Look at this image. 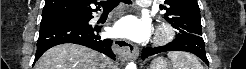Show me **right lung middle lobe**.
Wrapping results in <instances>:
<instances>
[{"label": "right lung middle lobe", "mask_w": 246, "mask_h": 69, "mask_svg": "<svg viewBox=\"0 0 246 69\" xmlns=\"http://www.w3.org/2000/svg\"><path fill=\"white\" fill-rule=\"evenodd\" d=\"M91 17V14H61V15H54V16H46L42 17L41 22H48L54 20H73V19H80V20H88Z\"/></svg>", "instance_id": "dd1d6c3e"}]
</instances>
